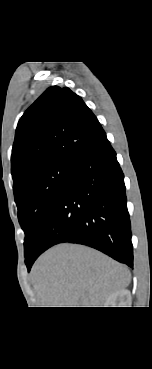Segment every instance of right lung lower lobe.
<instances>
[{"instance_id": "obj_1", "label": "right lung lower lobe", "mask_w": 152, "mask_h": 369, "mask_svg": "<svg viewBox=\"0 0 152 369\" xmlns=\"http://www.w3.org/2000/svg\"><path fill=\"white\" fill-rule=\"evenodd\" d=\"M63 242L93 247L133 267L124 175L105 133L71 162L34 252L25 261L28 270L41 253Z\"/></svg>"}]
</instances>
